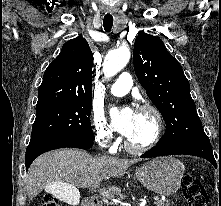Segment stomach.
<instances>
[{
  "label": "stomach",
  "mask_w": 221,
  "mask_h": 206,
  "mask_svg": "<svg viewBox=\"0 0 221 206\" xmlns=\"http://www.w3.org/2000/svg\"><path fill=\"white\" fill-rule=\"evenodd\" d=\"M184 171L185 167L178 159L159 157L138 168L136 177L147 189L170 195L179 189Z\"/></svg>",
  "instance_id": "1"
}]
</instances>
